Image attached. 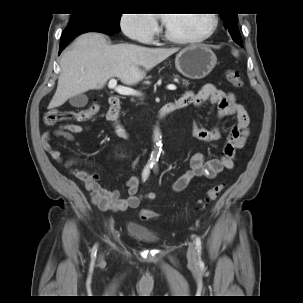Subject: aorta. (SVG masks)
I'll return each instance as SVG.
<instances>
[{
  "label": "aorta",
  "mask_w": 303,
  "mask_h": 303,
  "mask_svg": "<svg viewBox=\"0 0 303 303\" xmlns=\"http://www.w3.org/2000/svg\"><path fill=\"white\" fill-rule=\"evenodd\" d=\"M161 139V135L159 133L158 130H155L154 132V142H156L157 145H159L161 143L160 141ZM158 161V156L156 155V153L154 152L152 155H151V158L149 160V163L150 164H156V162Z\"/></svg>",
  "instance_id": "aorta-1"
}]
</instances>
